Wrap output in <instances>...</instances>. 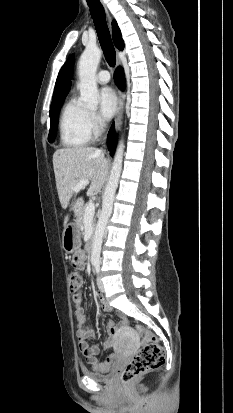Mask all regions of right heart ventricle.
<instances>
[{"label": "right heart ventricle", "mask_w": 233, "mask_h": 413, "mask_svg": "<svg viewBox=\"0 0 233 413\" xmlns=\"http://www.w3.org/2000/svg\"><path fill=\"white\" fill-rule=\"evenodd\" d=\"M59 133L62 146L68 149L84 147L93 138L89 110L75 97H71L62 108Z\"/></svg>", "instance_id": "right-heart-ventricle-1"}]
</instances>
